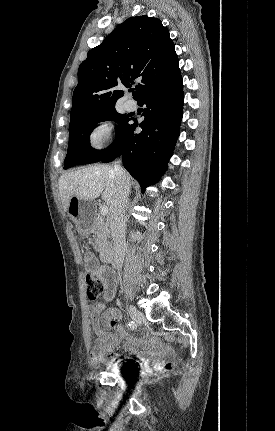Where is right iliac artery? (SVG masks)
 Masks as SVG:
<instances>
[{"label":"right iliac artery","instance_id":"obj_1","mask_svg":"<svg viewBox=\"0 0 275 431\" xmlns=\"http://www.w3.org/2000/svg\"><path fill=\"white\" fill-rule=\"evenodd\" d=\"M128 325H129L130 329H135L136 328V324L133 321L130 322Z\"/></svg>","mask_w":275,"mask_h":431}]
</instances>
